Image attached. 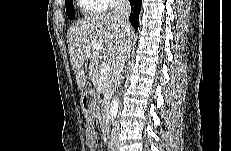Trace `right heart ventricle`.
Returning <instances> with one entry per match:
<instances>
[{
    "label": "right heart ventricle",
    "instance_id": "1",
    "mask_svg": "<svg viewBox=\"0 0 231 151\" xmlns=\"http://www.w3.org/2000/svg\"><path fill=\"white\" fill-rule=\"evenodd\" d=\"M83 7L88 12H97V11H100V8H99V6L96 3L89 2V1H84L83 2Z\"/></svg>",
    "mask_w": 231,
    "mask_h": 151
}]
</instances>
